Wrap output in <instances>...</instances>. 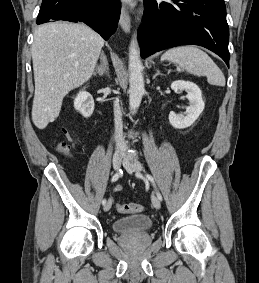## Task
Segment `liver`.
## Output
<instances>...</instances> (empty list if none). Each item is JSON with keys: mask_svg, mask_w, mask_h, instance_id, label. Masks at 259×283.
<instances>
[{"mask_svg": "<svg viewBox=\"0 0 259 283\" xmlns=\"http://www.w3.org/2000/svg\"><path fill=\"white\" fill-rule=\"evenodd\" d=\"M103 46L102 37L85 24L53 22L36 29L31 53L32 121L37 128L54 122L63 98L91 78Z\"/></svg>", "mask_w": 259, "mask_h": 283, "instance_id": "obj_1", "label": "liver"}]
</instances>
